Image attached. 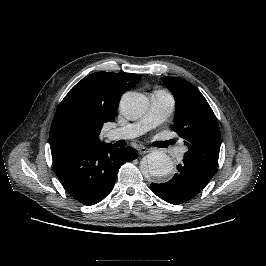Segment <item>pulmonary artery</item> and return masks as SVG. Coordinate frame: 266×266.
I'll list each match as a JSON object with an SVG mask.
<instances>
[{"instance_id":"obj_1","label":"pulmonary artery","mask_w":266,"mask_h":266,"mask_svg":"<svg viewBox=\"0 0 266 266\" xmlns=\"http://www.w3.org/2000/svg\"><path fill=\"white\" fill-rule=\"evenodd\" d=\"M175 106L173 96L164 89L154 90L150 95V107L148 112L139 121L108 131L110 140L132 139L152 127L162 123L172 113ZM182 147L180 152H184Z\"/></svg>"}]
</instances>
